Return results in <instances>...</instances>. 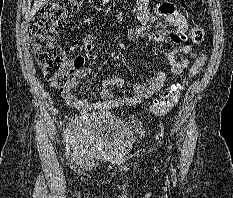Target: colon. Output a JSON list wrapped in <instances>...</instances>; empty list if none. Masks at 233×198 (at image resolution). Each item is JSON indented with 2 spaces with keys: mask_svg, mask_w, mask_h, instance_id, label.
<instances>
[{
  "mask_svg": "<svg viewBox=\"0 0 233 198\" xmlns=\"http://www.w3.org/2000/svg\"><path fill=\"white\" fill-rule=\"evenodd\" d=\"M79 3L80 0H53L43 8L30 27L36 59L45 79L54 90L64 94L70 93L74 88L77 74L65 63V56L56 43V35L67 19L75 14ZM204 35L205 31L200 25L193 27L189 34L191 41L195 43L202 41ZM205 60V55H201L190 67L187 78L161 99L155 100L150 110L155 115L168 113L179 101L188 82L201 71Z\"/></svg>",
  "mask_w": 233,
  "mask_h": 198,
  "instance_id": "5ec220e1",
  "label": "colon"
}]
</instances>
